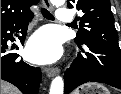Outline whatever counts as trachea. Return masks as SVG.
<instances>
[{
  "label": "trachea",
  "mask_w": 121,
  "mask_h": 94,
  "mask_svg": "<svg viewBox=\"0 0 121 94\" xmlns=\"http://www.w3.org/2000/svg\"><path fill=\"white\" fill-rule=\"evenodd\" d=\"M41 13L44 18L49 19V20H54V16L47 9L42 8Z\"/></svg>",
  "instance_id": "1"
}]
</instances>
